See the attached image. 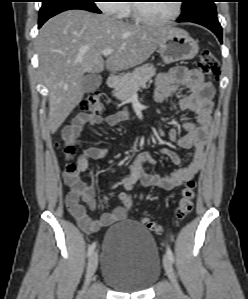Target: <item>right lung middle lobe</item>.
Wrapping results in <instances>:
<instances>
[{
  "label": "right lung middle lobe",
  "mask_w": 248,
  "mask_h": 299,
  "mask_svg": "<svg viewBox=\"0 0 248 299\" xmlns=\"http://www.w3.org/2000/svg\"><path fill=\"white\" fill-rule=\"evenodd\" d=\"M70 9H82L94 13H101L96 7L94 0H42V6L39 11V21Z\"/></svg>",
  "instance_id": "dd1d6c3e"
}]
</instances>
